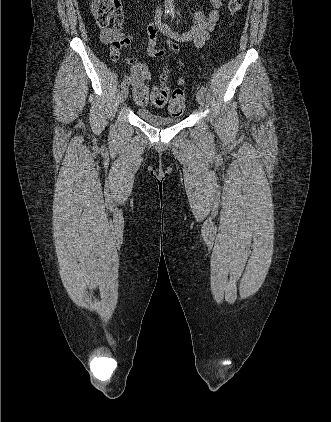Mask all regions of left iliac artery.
<instances>
[{"label":"left iliac artery","instance_id":"1","mask_svg":"<svg viewBox=\"0 0 331 422\" xmlns=\"http://www.w3.org/2000/svg\"><path fill=\"white\" fill-rule=\"evenodd\" d=\"M172 16L174 17V13H172ZM200 90L205 93L206 92V88L204 86H201Z\"/></svg>","mask_w":331,"mask_h":422}]
</instances>
